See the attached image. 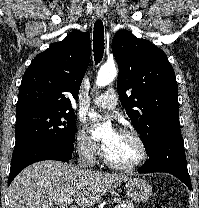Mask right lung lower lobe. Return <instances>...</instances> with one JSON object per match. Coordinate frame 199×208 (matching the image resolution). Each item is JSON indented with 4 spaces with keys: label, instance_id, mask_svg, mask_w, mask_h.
<instances>
[{
    "label": "right lung lower lobe",
    "instance_id": "right-lung-lower-lobe-1",
    "mask_svg": "<svg viewBox=\"0 0 199 208\" xmlns=\"http://www.w3.org/2000/svg\"><path fill=\"white\" fill-rule=\"evenodd\" d=\"M74 150H66L54 144L33 145L21 149L12 156L8 186L16 175L25 167L42 160L68 161Z\"/></svg>",
    "mask_w": 199,
    "mask_h": 208
}]
</instances>
